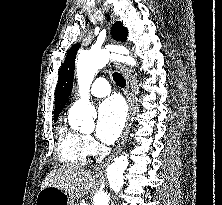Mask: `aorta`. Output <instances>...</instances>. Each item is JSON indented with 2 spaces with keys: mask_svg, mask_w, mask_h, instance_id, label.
<instances>
[{
  "mask_svg": "<svg viewBox=\"0 0 222 205\" xmlns=\"http://www.w3.org/2000/svg\"><path fill=\"white\" fill-rule=\"evenodd\" d=\"M117 55L108 50L82 51L77 61V79L80 99L77 100L69 111V123L80 131H92L94 125L95 108L90 103L89 90L98 70L106 66ZM129 64L134 65L132 58H125ZM131 166L128 153L117 157L107 168L105 176L94 195V205H109L120 195L125 184L126 175Z\"/></svg>",
  "mask_w": 222,
  "mask_h": 205,
  "instance_id": "762f6f07",
  "label": "aorta"
}]
</instances>
